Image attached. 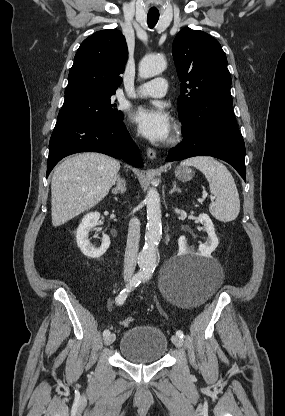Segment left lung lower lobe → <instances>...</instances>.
Masks as SVG:
<instances>
[{
    "label": "left lung lower lobe",
    "mask_w": 285,
    "mask_h": 416,
    "mask_svg": "<svg viewBox=\"0 0 285 416\" xmlns=\"http://www.w3.org/2000/svg\"><path fill=\"white\" fill-rule=\"evenodd\" d=\"M193 156H212L231 164L246 181L245 144L235 120H218L184 134L169 151L167 162Z\"/></svg>",
    "instance_id": "1"
}]
</instances>
